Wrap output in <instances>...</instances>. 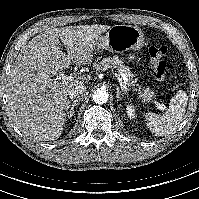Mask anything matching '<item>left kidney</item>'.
Listing matches in <instances>:
<instances>
[{
	"label": "left kidney",
	"instance_id": "obj_1",
	"mask_svg": "<svg viewBox=\"0 0 199 199\" xmlns=\"http://www.w3.org/2000/svg\"><path fill=\"white\" fill-rule=\"evenodd\" d=\"M126 113L130 119H136L137 115L135 114V108L132 105L127 106Z\"/></svg>",
	"mask_w": 199,
	"mask_h": 199
}]
</instances>
